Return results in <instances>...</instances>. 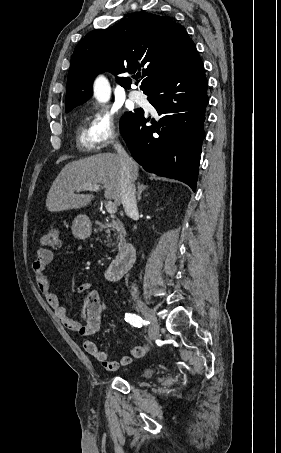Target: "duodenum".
<instances>
[{
    "instance_id": "duodenum-1",
    "label": "duodenum",
    "mask_w": 281,
    "mask_h": 453,
    "mask_svg": "<svg viewBox=\"0 0 281 453\" xmlns=\"http://www.w3.org/2000/svg\"><path fill=\"white\" fill-rule=\"evenodd\" d=\"M136 257V249L131 243L121 246L117 256L108 266L105 276L110 281H116L126 273L133 265Z\"/></svg>"
}]
</instances>
